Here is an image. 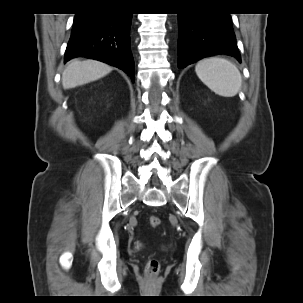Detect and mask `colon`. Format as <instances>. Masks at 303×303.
I'll use <instances>...</instances> for the list:
<instances>
[{
    "mask_svg": "<svg viewBox=\"0 0 303 303\" xmlns=\"http://www.w3.org/2000/svg\"><path fill=\"white\" fill-rule=\"evenodd\" d=\"M161 223V220L157 216H151L149 218V224L152 227H158ZM160 270V264L157 259L151 258L146 264V273L149 277H155Z\"/></svg>",
    "mask_w": 303,
    "mask_h": 303,
    "instance_id": "5ec220e1",
    "label": "colon"
}]
</instances>
